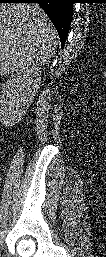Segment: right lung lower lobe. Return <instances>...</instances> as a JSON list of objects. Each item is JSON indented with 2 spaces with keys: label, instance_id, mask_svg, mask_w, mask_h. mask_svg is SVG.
I'll return each mask as SVG.
<instances>
[{
  "label": "right lung lower lobe",
  "instance_id": "98d812e1",
  "mask_svg": "<svg viewBox=\"0 0 106 257\" xmlns=\"http://www.w3.org/2000/svg\"><path fill=\"white\" fill-rule=\"evenodd\" d=\"M1 3H38L54 24L64 46L68 36L75 0H0Z\"/></svg>",
  "mask_w": 106,
  "mask_h": 257
}]
</instances>
